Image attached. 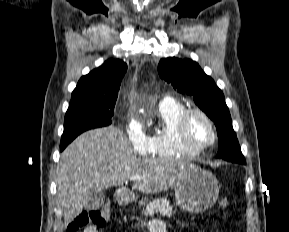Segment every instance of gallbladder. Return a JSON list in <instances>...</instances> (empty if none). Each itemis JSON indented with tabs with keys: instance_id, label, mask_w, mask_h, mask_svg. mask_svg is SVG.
<instances>
[{
	"instance_id": "bac80fb5",
	"label": "gallbladder",
	"mask_w": 289,
	"mask_h": 232,
	"mask_svg": "<svg viewBox=\"0 0 289 232\" xmlns=\"http://www.w3.org/2000/svg\"><path fill=\"white\" fill-rule=\"evenodd\" d=\"M105 195L103 191L90 189L87 193V202L84 206L87 210H97L104 204Z\"/></svg>"
}]
</instances>
